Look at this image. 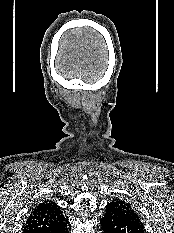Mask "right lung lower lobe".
Returning a JSON list of instances; mask_svg holds the SVG:
<instances>
[{
  "label": "right lung lower lobe",
  "instance_id": "right-lung-lower-lobe-1",
  "mask_svg": "<svg viewBox=\"0 0 174 233\" xmlns=\"http://www.w3.org/2000/svg\"><path fill=\"white\" fill-rule=\"evenodd\" d=\"M67 226H68V223L61 226V227H59V228H57V229H54V230L50 231L49 233H68Z\"/></svg>",
  "mask_w": 174,
  "mask_h": 233
}]
</instances>
